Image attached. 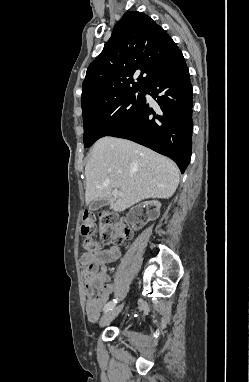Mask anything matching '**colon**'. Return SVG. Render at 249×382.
Wrapping results in <instances>:
<instances>
[{"mask_svg": "<svg viewBox=\"0 0 249 382\" xmlns=\"http://www.w3.org/2000/svg\"><path fill=\"white\" fill-rule=\"evenodd\" d=\"M97 224L101 227L100 242L86 238L83 244L86 252H96L100 245L121 243L130 238L133 232L129 222L118 219L114 214L100 212L96 215L85 212L81 224L82 234L89 236L94 232Z\"/></svg>", "mask_w": 249, "mask_h": 382, "instance_id": "1", "label": "colon"}]
</instances>
